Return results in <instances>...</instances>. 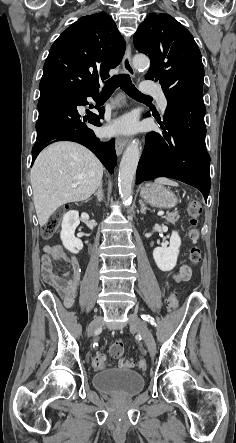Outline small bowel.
Wrapping results in <instances>:
<instances>
[{
	"label": "small bowel",
	"mask_w": 236,
	"mask_h": 443,
	"mask_svg": "<svg viewBox=\"0 0 236 443\" xmlns=\"http://www.w3.org/2000/svg\"><path fill=\"white\" fill-rule=\"evenodd\" d=\"M43 251L42 275L44 281L60 296L66 307H71L78 293L81 275L79 263L74 256L65 253L60 246H45ZM53 260L66 264L69 270L63 273L54 271ZM191 274V268L186 264H181L173 278L177 282L188 281Z\"/></svg>",
	"instance_id": "1"
}]
</instances>
